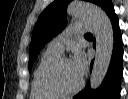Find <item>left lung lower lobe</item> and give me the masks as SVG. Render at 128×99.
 Wrapping results in <instances>:
<instances>
[{
    "mask_svg": "<svg viewBox=\"0 0 128 99\" xmlns=\"http://www.w3.org/2000/svg\"><path fill=\"white\" fill-rule=\"evenodd\" d=\"M100 7L110 17L113 26L114 45L112 58L101 86L96 90H92L88 83L84 90L78 93L74 99H119L121 90L120 80L123 72V48L119 21L114 12L111 0H103ZM92 65L93 61L91 62L90 68H92Z\"/></svg>",
    "mask_w": 128,
    "mask_h": 99,
    "instance_id": "obj_1",
    "label": "left lung lower lobe"
}]
</instances>
